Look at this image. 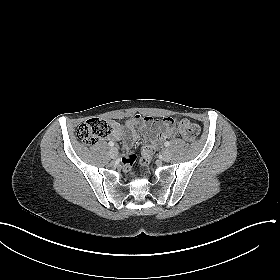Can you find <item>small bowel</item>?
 Instances as JSON below:
<instances>
[{"label": "small bowel", "mask_w": 280, "mask_h": 280, "mask_svg": "<svg viewBox=\"0 0 280 280\" xmlns=\"http://www.w3.org/2000/svg\"><path fill=\"white\" fill-rule=\"evenodd\" d=\"M153 127L160 129V131H158L147 144L152 146L154 149L160 147L164 140L175 137L178 134V131L173 127L172 118L155 120L153 117L148 115H135L132 119L126 122L127 136H125L124 147H130L133 142L138 139V129L147 132ZM114 137L120 138L123 136L117 132Z\"/></svg>", "instance_id": "obj_1"}]
</instances>
